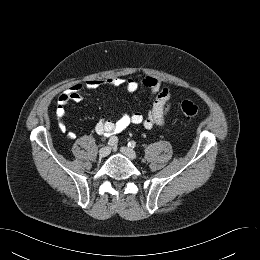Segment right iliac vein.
<instances>
[{"mask_svg": "<svg viewBox=\"0 0 260 260\" xmlns=\"http://www.w3.org/2000/svg\"><path fill=\"white\" fill-rule=\"evenodd\" d=\"M110 151H111L110 147H102L99 150V156L102 158L106 157L110 153Z\"/></svg>", "mask_w": 260, "mask_h": 260, "instance_id": "right-iliac-vein-1", "label": "right iliac vein"}]
</instances>
